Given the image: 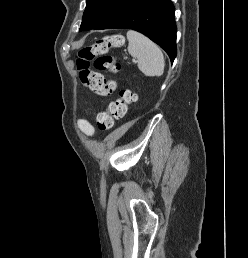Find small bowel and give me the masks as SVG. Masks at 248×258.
<instances>
[{"label":"small bowel","instance_id":"c3829d8e","mask_svg":"<svg viewBox=\"0 0 248 258\" xmlns=\"http://www.w3.org/2000/svg\"><path fill=\"white\" fill-rule=\"evenodd\" d=\"M78 126L81 132L88 137L93 136L95 133L94 127L87 120H79Z\"/></svg>","mask_w":248,"mask_h":258}]
</instances>
